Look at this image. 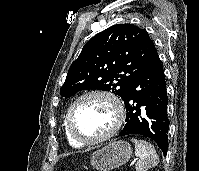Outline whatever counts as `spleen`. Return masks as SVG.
Masks as SVG:
<instances>
[{
  "instance_id": "obj_1",
  "label": "spleen",
  "mask_w": 199,
  "mask_h": 171,
  "mask_svg": "<svg viewBox=\"0 0 199 171\" xmlns=\"http://www.w3.org/2000/svg\"><path fill=\"white\" fill-rule=\"evenodd\" d=\"M131 141L135 144V155L138 158L136 171H147L158 165L159 158L154 146L135 138H132Z\"/></svg>"
}]
</instances>
